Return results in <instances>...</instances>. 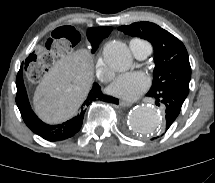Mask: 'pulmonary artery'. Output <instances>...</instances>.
Returning a JSON list of instances; mask_svg holds the SVG:
<instances>
[{
    "mask_svg": "<svg viewBox=\"0 0 215 183\" xmlns=\"http://www.w3.org/2000/svg\"><path fill=\"white\" fill-rule=\"evenodd\" d=\"M129 47L135 58L138 60L146 59L152 52V46L146 41L134 39L130 42Z\"/></svg>",
    "mask_w": 215,
    "mask_h": 183,
    "instance_id": "1",
    "label": "pulmonary artery"
}]
</instances>
